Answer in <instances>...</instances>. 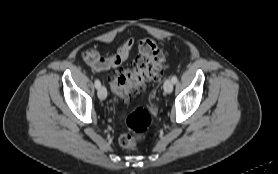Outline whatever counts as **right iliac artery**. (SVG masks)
Instances as JSON below:
<instances>
[{
  "label": "right iliac artery",
  "instance_id": "right-iliac-artery-1",
  "mask_svg": "<svg viewBox=\"0 0 278 174\" xmlns=\"http://www.w3.org/2000/svg\"><path fill=\"white\" fill-rule=\"evenodd\" d=\"M95 87L98 89L101 87V83L98 79L95 80Z\"/></svg>",
  "mask_w": 278,
  "mask_h": 174
}]
</instances>
